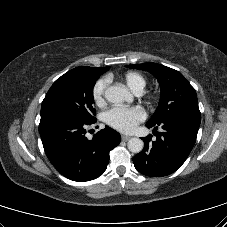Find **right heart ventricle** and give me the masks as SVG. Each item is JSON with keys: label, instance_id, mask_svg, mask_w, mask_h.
Segmentation results:
<instances>
[{"label": "right heart ventricle", "instance_id": "right-heart-ventricle-1", "mask_svg": "<svg viewBox=\"0 0 227 227\" xmlns=\"http://www.w3.org/2000/svg\"><path fill=\"white\" fill-rule=\"evenodd\" d=\"M127 86L134 92H141L146 86V79L138 72H127L124 75Z\"/></svg>", "mask_w": 227, "mask_h": 227}]
</instances>
